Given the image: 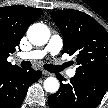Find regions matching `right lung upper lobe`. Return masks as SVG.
I'll return each mask as SVG.
<instances>
[{
    "mask_svg": "<svg viewBox=\"0 0 108 108\" xmlns=\"http://www.w3.org/2000/svg\"><path fill=\"white\" fill-rule=\"evenodd\" d=\"M43 11L38 8L8 6L0 8V72L20 69L7 61L10 53L24 36L27 28L35 22Z\"/></svg>",
    "mask_w": 108,
    "mask_h": 108,
    "instance_id": "cb5924a9",
    "label": "right lung upper lobe"
}]
</instances>
